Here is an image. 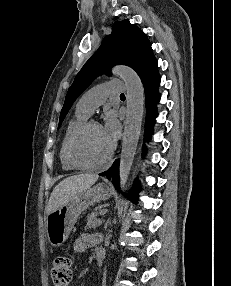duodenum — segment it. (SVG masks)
<instances>
[{"label": "duodenum", "mask_w": 231, "mask_h": 286, "mask_svg": "<svg viewBox=\"0 0 231 286\" xmlns=\"http://www.w3.org/2000/svg\"><path fill=\"white\" fill-rule=\"evenodd\" d=\"M104 251L101 247H98L96 249V259H97V263L98 265L101 267L104 264Z\"/></svg>", "instance_id": "1"}]
</instances>
